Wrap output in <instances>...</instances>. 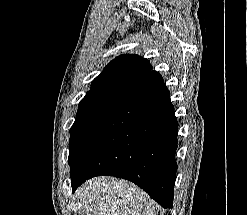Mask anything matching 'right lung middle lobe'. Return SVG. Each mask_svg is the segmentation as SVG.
Segmentation results:
<instances>
[{
  "label": "right lung middle lobe",
  "mask_w": 247,
  "mask_h": 215,
  "mask_svg": "<svg viewBox=\"0 0 247 215\" xmlns=\"http://www.w3.org/2000/svg\"><path fill=\"white\" fill-rule=\"evenodd\" d=\"M128 89L116 88L88 92L80 101L76 120L70 129L69 165L86 133L125 95Z\"/></svg>",
  "instance_id": "right-lung-middle-lobe-1"
}]
</instances>
